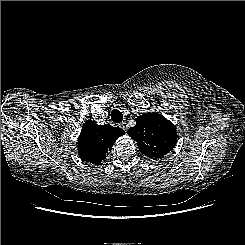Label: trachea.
Wrapping results in <instances>:
<instances>
[{"instance_id": "3493384b", "label": "trachea", "mask_w": 245, "mask_h": 245, "mask_svg": "<svg viewBox=\"0 0 245 245\" xmlns=\"http://www.w3.org/2000/svg\"><path fill=\"white\" fill-rule=\"evenodd\" d=\"M111 120L115 123H120L123 120V115L119 110H113L111 112Z\"/></svg>"}]
</instances>
